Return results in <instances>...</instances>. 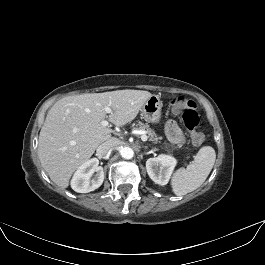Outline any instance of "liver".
Returning <instances> with one entry per match:
<instances>
[{
    "label": "liver",
    "mask_w": 265,
    "mask_h": 265,
    "mask_svg": "<svg viewBox=\"0 0 265 265\" xmlns=\"http://www.w3.org/2000/svg\"><path fill=\"white\" fill-rule=\"evenodd\" d=\"M152 96L148 91L117 90L68 96L48 111L41 128L38 156L50 179L65 189L70 177L96 148L111 138L112 129L101 125L109 119L124 126L135 119ZM110 107L107 115L104 108Z\"/></svg>",
    "instance_id": "1"
}]
</instances>
